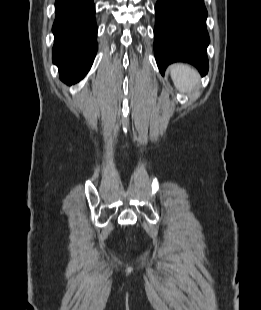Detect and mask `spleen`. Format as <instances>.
Here are the masks:
<instances>
[{
    "instance_id": "1",
    "label": "spleen",
    "mask_w": 261,
    "mask_h": 310,
    "mask_svg": "<svg viewBox=\"0 0 261 310\" xmlns=\"http://www.w3.org/2000/svg\"><path fill=\"white\" fill-rule=\"evenodd\" d=\"M171 78L175 87L182 93L193 90L199 82L197 71L186 64H174L170 68Z\"/></svg>"
}]
</instances>
